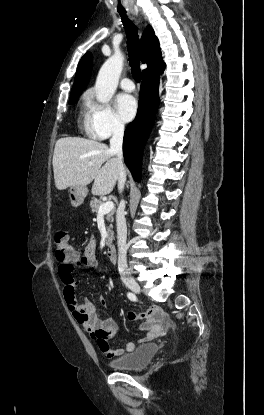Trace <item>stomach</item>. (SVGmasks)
Instances as JSON below:
<instances>
[{
  "label": "stomach",
  "mask_w": 264,
  "mask_h": 415,
  "mask_svg": "<svg viewBox=\"0 0 264 415\" xmlns=\"http://www.w3.org/2000/svg\"><path fill=\"white\" fill-rule=\"evenodd\" d=\"M88 189L86 186H72L68 188L67 194L73 207L80 206L87 196Z\"/></svg>",
  "instance_id": "stomach-1"
}]
</instances>
